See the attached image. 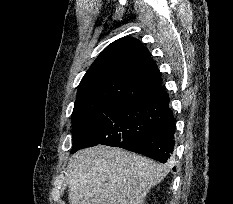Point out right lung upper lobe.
<instances>
[{
    "mask_svg": "<svg viewBox=\"0 0 233 204\" xmlns=\"http://www.w3.org/2000/svg\"><path fill=\"white\" fill-rule=\"evenodd\" d=\"M163 92L159 69L147 48L124 37L108 45L82 78L72 121L113 103L153 99Z\"/></svg>",
    "mask_w": 233,
    "mask_h": 204,
    "instance_id": "right-lung-upper-lobe-1",
    "label": "right lung upper lobe"
}]
</instances>
